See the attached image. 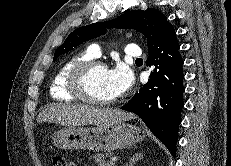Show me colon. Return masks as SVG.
<instances>
[{
  "label": "colon",
  "mask_w": 231,
  "mask_h": 166,
  "mask_svg": "<svg viewBox=\"0 0 231 166\" xmlns=\"http://www.w3.org/2000/svg\"><path fill=\"white\" fill-rule=\"evenodd\" d=\"M52 163L53 166H77L73 161L61 156L54 157Z\"/></svg>",
  "instance_id": "1"
}]
</instances>
